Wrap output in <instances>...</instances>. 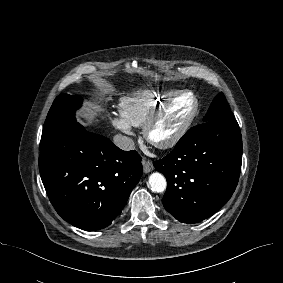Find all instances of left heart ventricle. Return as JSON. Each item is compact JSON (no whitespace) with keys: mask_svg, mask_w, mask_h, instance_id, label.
<instances>
[{"mask_svg":"<svg viewBox=\"0 0 283 283\" xmlns=\"http://www.w3.org/2000/svg\"><path fill=\"white\" fill-rule=\"evenodd\" d=\"M192 107L189 97L174 101L152 130V138L160 141L168 138L182 123Z\"/></svg>","mask_w":283,"mask_h":283,"instance_id":"1","label":"left heart ventricle"}]
</instances>
